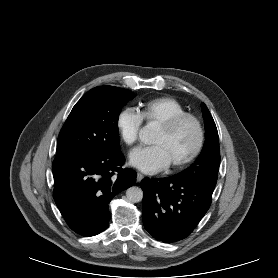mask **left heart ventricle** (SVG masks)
Masks as SVG:
<instances>
[{
	"label": "left heart ventricle",
	"mask_w": 278,
	"mask_h": 278,
	"mask_svg": "<svg viewBox=\"0 0 278 278\" xmlns=\"http://www.w3.org/2000/svg\"><path fill=\"white\" fill-rule=\"evenodd\" d=\"M196 141V128L193 123L187 121L172 133H166L159 128L152 143L164 149L171 164L187 156L193 150Z\"/></svg>",
	"instance_id": "left-heart-ventricle-1"
}]
</instances>
